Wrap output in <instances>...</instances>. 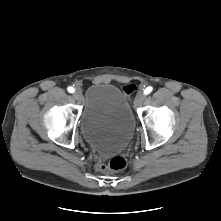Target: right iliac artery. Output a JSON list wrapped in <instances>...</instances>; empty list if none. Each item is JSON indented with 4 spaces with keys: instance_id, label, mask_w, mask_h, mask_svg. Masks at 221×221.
Returning a JSON list of instances; mask_svg holds the SVG:
<instances>
[{
    "instance_id": "1",
    "label": "right iliac artery",
    "mask_w": 221,
    "mask_h": 221,
    "mask_svg": "<svg viewBox=\"0 0 221 221\" xmlns=\"http://www.w3.org/2000/svg\"><path fill=\"white\" fill-rule=\"evenodd\" d=\"M75 90L73 87H68V92L73 93Z\"/></svg>"
}]
</instances>
